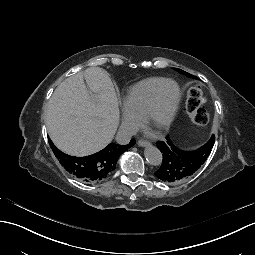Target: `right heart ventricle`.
Wrapping results in <instances>:
<instances>
[{
	"mask_svg": "<svg viewBox=\"0 0 255 255\" xmlns=\"http://www.w3.org/2000/svg\"><path fill=\"white\" fill-rule=\"evenodd\" d=\"M164 81L163 78H148L132 85L122 98V106L135 120L149 108L153 94Z\"/></svg>",
	"mask_w": 255,
	"mask_h": 255,
	"instance_id": "e07e8e85",
	"label": "right heart ventricle"
}]
</instances>
